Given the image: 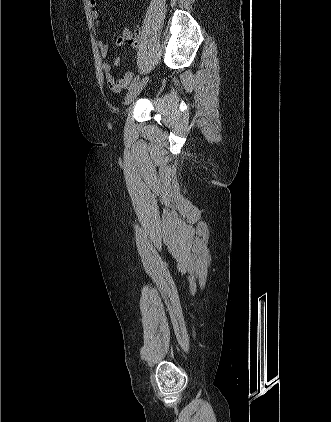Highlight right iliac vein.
<instances>
[{
	"label": "right iliac vein",
	"instance_id": "right-iliac-vein-1",
	"mask_svg": "<svg viewBox=\"0 0 331 422\" xmlns=\"http://www.w3.org/2000/svg\"><path fill=\"white\" fill-rule=\"evenodd\" d=\"M148 79V77H145L128 91L125 97V105H129L132 101H134V99L139 95V93L147 84Z\"/></svg>",
	"mask_w": 331,
	"mask_h": 422
}]
</instances>
